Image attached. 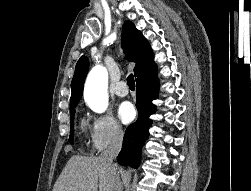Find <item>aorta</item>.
<instances>
[{
	"instance_id": "762f6f07",
	"label": "aorta",
	"mask_w": 251,
	"mask_h": 191,
	"mask_svg": "<svg viewBox=\"0 0 251 191\" xmlns=\"http://www.w3.org/2000/svg\"><path fill=\"white\" fill-rule=\"evenodd\" d=\"M107 82L108 72L103 66H94L87 76L84 99L96 113H103L108 107Z\"/></svg>"
}]
</instances>
